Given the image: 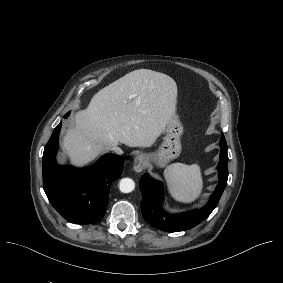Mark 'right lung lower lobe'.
<instances>
[{
  "instance_id": "98d812e1",
  "label": "right lung lower lobe",
  "mask_w": 283,
  "mask_h": 283,
  "mask_svg": "<svg viewBox=\"0 0 283 283\" xmlns=\"http://www.w3.org/2000/svg\"><path fill=\"white\" fill-rule=\"evenodd\" d=\"M70 112L65 114V118ZM59 124L43 153V188L54 208L66 220L77 224L100 221L108 205L112 182L122 174L124 157L106 154L94 165L77 169L59 166L55 161L58 149Z\"/></svg>"
}]
</instances>
